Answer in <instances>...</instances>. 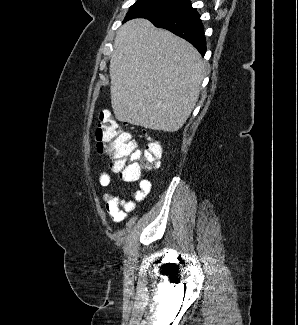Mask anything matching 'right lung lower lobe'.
Returning a JSON list of instances; mask_svg holds the SVG:
<instances>
[{
  "label": "right lung lower lobe",
  "mask_w": 298,
  "mask_h": 325,
  "mask_svg": "<svg viewBox=\"0 0 298 325\" xmlns=\"http://www.w3.org/2000/svg\"><path fill=\"white\" fill-rule=\"evenodd\" d=\"M156 27L165 28L189 41L204 55L206 40L200 15L191 4L172 13L149 19ZM127 21V20H125Z\"/></svg>",
  "instance_id": "1"
}]
</instances>
